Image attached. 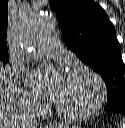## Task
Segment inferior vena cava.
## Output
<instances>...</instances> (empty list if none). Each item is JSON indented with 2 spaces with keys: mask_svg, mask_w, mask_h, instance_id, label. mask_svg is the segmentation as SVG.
<instances>
[{
  "mask_svg": "<svg viewBox=\"0 0 125 128\" xmlns=\"http://www.w3.org/2000/svg\"><path fill=\"white\" fill-rule=\"evenodd\" d=\"M23 121L26 122L29 127H33L36 124L35 115L29 114L27 119L23 118Z\"/></svg>",
  "mask_w": 125,
  "mask_h": 128,
  "instance_id": "1",
  "label": "inferior vena cava"
}]
</instances>
